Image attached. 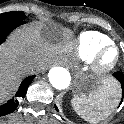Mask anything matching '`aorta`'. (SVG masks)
Returning <instances> with one entry per match:
<instances>
[{
  "mask_svg": "<svg viewBox=\"0 0 124 124\" xmlns=\"http://www.w3.org/2000/svg\"><path fill=\"white\" fill-rule=\"evenodd\" d=\"M49 81L52 86L58 90L69 86L71 77L67 69L63 67H54L49 71Z\"/></svg>",
  "mask_w": 124,
  "mask_h": 124,
  "instance_id": "762f6f07",
  "label": "aorta"
}]
</instances>
